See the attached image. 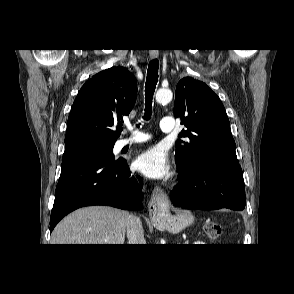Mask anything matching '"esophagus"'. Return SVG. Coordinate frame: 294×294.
Segmentation results:
<instances>
[{"instance_id":"34e87169","label":"esophagus","mask_w":294,"mask_h":294,"mask_svg":"<svg viewBox=\"0 0 294 294\" xmlns=\"http://www.w3.org/2000/svg\"><path fill=\"white\" fill-rule=\"evenodd\" d=\"M151 59L159 56L158 50H151L149 53ZM170 201L168 195L160 186H155L152 190L151 200L149 203V217L153 222H157L163 215L168 213Z\"/></svg>"}]
</instances>
